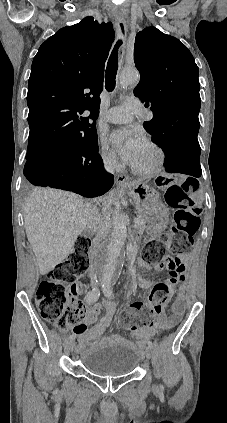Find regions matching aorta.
Listing matches in <instances>:
<instances>
[{"label":"aorta","mask_w":227,"mask_h":423,"mask_svg":"<svg viewBox=\"0 0 227 423\" xmlns=\"http://www.w3.org/2000/svg\"><path fill=\"white\" fill-rule=\"evenodd\" d=\"M140 76L136 69L123 70L120 74V84L123 88L135 84ZM112 235L108 242L97 249L94 256V269L99 282L110 286L119 277L123 264V248L127 238L126 222L122 215L115 212L112 216Z\"/></svg>","instance_id":"762f6f07"}]
</instances>
